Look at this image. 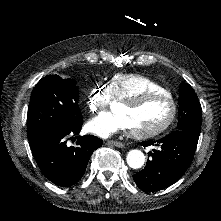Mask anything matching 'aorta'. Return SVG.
Instances as JSON below:
<instances>
[{
    "label": "aorta",
    "mask_w": 221,
    "mask_h": 221,
    "mask_svg": "<svg viewBox=\"0 0 221 221\" xmlns=\"http://www.w3.org/2000/svg\"><path fill=\"white\" fill-rule=\"evenodd\" d=\"M127 164L133 169L141 168L145 163V156L140 150H131L126 157Z\"/></svg>",
    "instance_id": "aorta-1"
}]
</instances>
